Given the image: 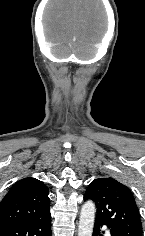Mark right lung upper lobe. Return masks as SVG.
<instances>
[{
  "label": "right lung upper lobe",
  "mask_w": 145,
  "mask_h": 236,
  "mask_svg": "<svg viewBox=\"0 0 145 236\" xmlns=\"http://www.w3.org/2000/svg\"><path fill=\"white\" fill-rule=\"evenodd\" d=\"M50 212L48 188L35 178L18 181L0 203V227L37 219Z\"/></svg>",
  "instance_id": "right-lung-upper-lobe-1"
}]
</instances>
